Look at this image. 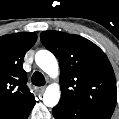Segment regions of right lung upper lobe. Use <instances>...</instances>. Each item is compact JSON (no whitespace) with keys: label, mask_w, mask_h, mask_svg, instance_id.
<instances>
[{"label":"right lung upper lobe","mask_w":119,"mask_h":119,"mask_svg":"<svg viewBox=\"0 0 119 119\" xmlns=\"http://www.w3.org/2000/svg\"><path fill=\"white\" fill-rule=\"evenodd\" d=\"M36 40L33 32L0 37V111L21 105L34 97L26 85L27 74L22 65L26 52Z\"/></svg>","instance_id":"right-lung-upper-lobe-1"}]
</instances>
